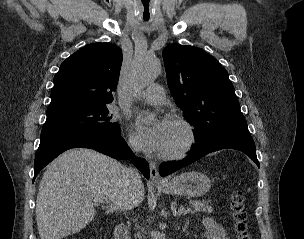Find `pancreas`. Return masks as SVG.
<instances>
[{"label": "pancreas", "instance_id": "1", "mask_svg": "<svg viewBox=\"0 0 304 239\" xmlns=\"http://www.w3.org/2000/svg\"><path fill=\"white\" fill-rule=\"evenodd\" d=\"M213 208L208 204V201L195 202L192 206V213L212 212Z\"/></svg>", "mask_w": 304, "mask_h": 239}]
</instances>
